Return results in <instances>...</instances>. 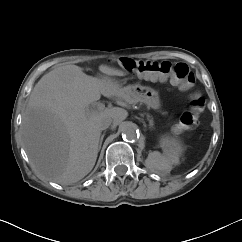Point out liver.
I'll return each mask as SVG.
<instances>
[{"mask_svg": "<svg viewBox=\"0 0 242 242\" xmlns=\"http://www.w3.org/2000/svg\"><path fill=\"white\" fill-rule=\"evenodd\" d=\"M103 77L88 76L76 65H64L45 74L33 88L22 118L25 150L35 171L59 184H72L94 167L103 117L119 125L128 116L120 107L87 115V107L101 98L120 106L137 103L110 76L123 71L100 65Z\"/></svg>", "mask_w": 242, "mask_h": 242, "instance_id": "obj_1", "label": "liver"}]
</instances>
